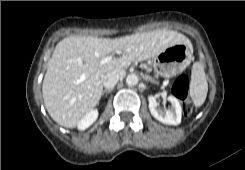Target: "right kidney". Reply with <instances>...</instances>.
I'll list each match as a JSON object with an SVG mask.
<instances>
[{
    "instance_id": "right-kidney-1",
    "label": "right kidney",
    "mask_w": 245,
    "mask_h": 170,
    "mask_svg": "<svg viewBox=\"0 0 245 170\" xmlns=\"http://www.w3.org/2000/svg\"><path fill=\"white\" fill-rule=\"evenodd\" d=\"M98 118V111H90L81 121L78 123L77 128L79 130H85L90 127Z\"/></svg>"
}]
</instances>
